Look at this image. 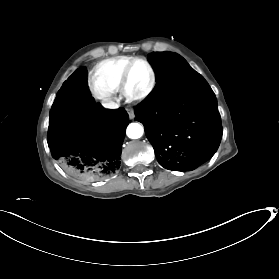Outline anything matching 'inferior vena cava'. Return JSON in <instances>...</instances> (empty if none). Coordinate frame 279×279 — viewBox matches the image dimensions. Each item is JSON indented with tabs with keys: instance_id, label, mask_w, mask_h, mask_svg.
Segmentation results:
<instances>
[{
	"instance_id": "602c4592",
	"label": "inferior vena cava",
	"mask_w": 279,
	"mask_h": 279,
	"mask_svg": "<svg viewBox=\"0 0 279 279\" xmlns=\"http://www.w3.org/2000/svg\"><path fill=\"white\" fill-rule=\"evenodd\" d=\"M104 101L106 102L103 104V106L105 108L115 109V108H118V106H119L115 102L111 101V99H105ZM117 102H118V100H117Z\"/></svg>"
}]
</instances>
